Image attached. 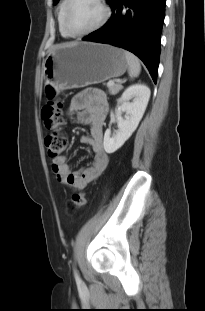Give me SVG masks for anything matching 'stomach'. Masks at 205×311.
Segmentation results:
<instances>
[{
    "label": "stomach",
    "mask_w": 205,
    "mask_h": 311,
    "mask_svg": "<svg viewBox=\"0 0 205 311\" xmlns=\"http://www.w3.org/2000/svg\"><path fill=\"white\" fill-rule=\"evenodd\" d=\"M125 51L106 44L77 42L55 47L43 63L46 85L56 93L98 84L123 75Z\"/></svg>",
    "instance_id": "obj_1"
}]
</instances>
